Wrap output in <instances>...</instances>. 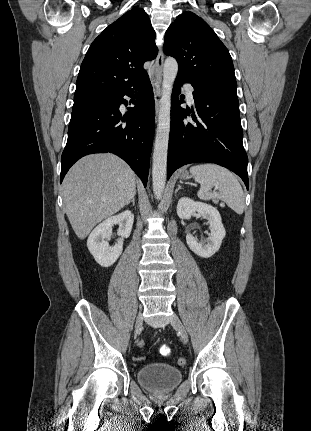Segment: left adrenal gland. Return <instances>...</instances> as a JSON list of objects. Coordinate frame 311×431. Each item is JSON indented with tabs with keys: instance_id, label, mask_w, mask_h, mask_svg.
Returning a JSON list of instances; mask_svg holds the SVG:
<instances>
[{
	"instance_id": "left-adrenal-gland-1",
	"label": "left adrenal gland",
	"mask_w": 311,
	"mask_h": 431,
	"mask_svg": "<svg viewBox=\"0 0 311 431\" xmlns=\"http://www.w3.org/2000/svg\"><path fill=\"white\" fill-rule=\"evenodd\" d=\"M178 190H184V188H181V186H178V188H176L175 190V194H177Z\"/></svg>"
}]
</instances>
